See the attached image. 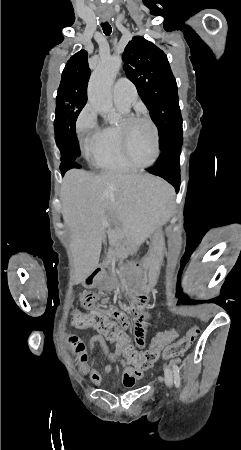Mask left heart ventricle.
<instances>
[{
  "label": "left heart ventricle",
  "mask_w": 241,
  "mask_h": 450,
  "mask_svg": "<svg viewBox=\"0 0 241 450\" xmlns=\"http://www.w3.org/2000/svg\"><path fill=\"white\" fill-rule=\"evenodd\" d=\"M129 132L126 134L128 143L124 144V151L129 152L128 165L136 168L138 165H147L152 158V144L154 140L151 131L156 130L154 123L146 114H139L136 121L129 123Z\"/></svg>",
  "instance_id": "left-heart-ventricle-1"
}]
</instances>
